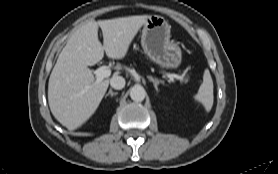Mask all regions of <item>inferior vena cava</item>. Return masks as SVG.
Returning a JSON list of instances; mask_svg holds the SVG:
<instances>
[{"label": "inferior vena cava", "instance_id": "1", "mask_svg": "<svg viewBox=\"0 0 278 174\" xmlns=\"http://www.w3.org/2000/svg\"><path fill=\"white\" fill-rule=\"evenodd\" d=\"M110 85L116 90H120L125 86V79L121 76H113L110 80Z\"/></svg>", "mask_w": 278, "mask_h": 174}]
</instances>
